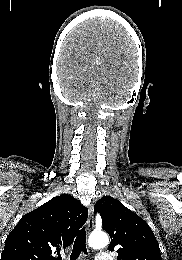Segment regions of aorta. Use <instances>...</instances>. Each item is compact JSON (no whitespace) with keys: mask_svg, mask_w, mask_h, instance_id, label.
Returning <instances> with one entry per match:
<instances>
[{"mask_svg":"<svg viewBox=\"0 0 182 260\" xmlns=\"http://www.w3.org/2000/svg\"><path fill=\"white\" fill-rule=\"evenodd\" d=\"M88 243L93 249H101L108 245L109 238L104 232L92 233L89 237Z\"/></svg>","mask_w":182,"mask_h":260,"instance_id":"1","label":"aorta"}]
</instances>
